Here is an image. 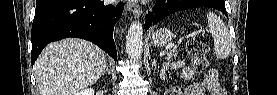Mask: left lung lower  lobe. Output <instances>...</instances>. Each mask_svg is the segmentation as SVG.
I'll list each match as a JSON object with an SVG mask.
<instances>
[{
	"instance_id": "0a47b994",
	"label": "left lung lower lobe",
	"mask_w": 277,
	"mask_h": 95,
	"mask_svg": "<svg viewBox=\"0 0 277 95\" xmlns=\"http://www.w3.org/2000/svg\"><path fill=\"white\" fill-rule=\"evenodd\" d=\"M180 1L181 0H157L155 5L146 16L145 29L147 30L150 26L155 25L165 16L174 13L175 11L187 9L186 7L179 6ZM196 1L197 3L202 5L201 7L215 8L227 15L224 4H213L208 2L207 0Z\"/></svg>"
}]
</instances>
